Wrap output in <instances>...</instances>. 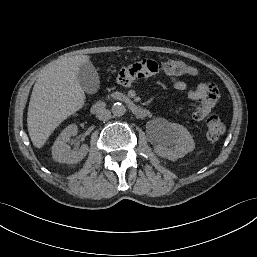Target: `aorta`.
I'll use <instances>...</instances> for the list:
<instances>
[{"instance_id": "aorta-1", "label": "aorta", "mask_w": 257, "mask_h": 257, "mask_svg": "<svg viewBox=\"0 0 257 257\" xmlns=\"http://www.w3.org/2000/svg\"><path fill=\"white\" fill-rule=\"evenodd\" d=\"M111 110H112L113 115L118 116V117L124 115L126 112L125 106L119 102L114 103Z\"/></svg>"}]
</instances>
